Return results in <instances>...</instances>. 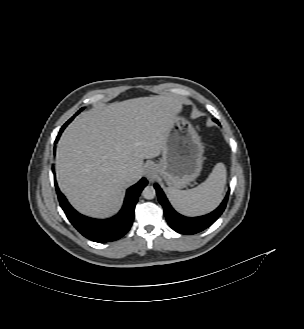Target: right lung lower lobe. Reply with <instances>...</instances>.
Segmentation results:
<instances>
[{
  "label": "right lung lower lobe",
  "instance_id": "right-lung-lower-lobe-1",
  "mask_svg": "<svg viewBox=\"0 0 304 329\" xmlns=\"http://www.w3.org/2000/svg\"><path fill=\"white\" fill-rule=\"evenodd\" d=\"M64 128V126L61 128L55 143L58 141ZM146 185L147 180L142 178L137 184L127 190L124 205L117 215L110 219L98 220L83 216L74 210L64 195L60 192L55 181L60 206L71 224L83 236L99 243L118 240L128 232L134 219V209L138 197Z\"/></svg>",
  "mask_w": 304,
  "mask_h": 329
}]
</instances>
